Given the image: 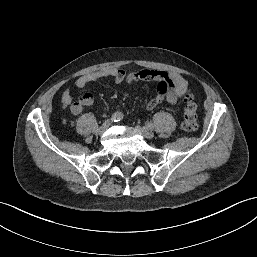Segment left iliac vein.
<instances>
[{
	"label": "left iliac vein",
	"instance_id": "1",
	"mask_svg": "<svg viewBox=\"0 0 257 257\" xmlns=\"http://www.w3.org/2000/svg\"><path fill=\"white\" fill-rule=\"evenodd\" d=\"M138 132H140L146 139H152L154 133L146 128H141L140 126L135 127Z\"/></svg>",
	"mask_w": 257,
	"mask_h": 257
}]
</instances>
